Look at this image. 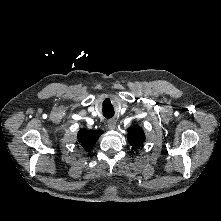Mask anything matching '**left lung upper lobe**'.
Returning <instances> with one entry per match:
<instances>
[{
	"mask_svg": "<svg viewBox=\"0 0 221 221\" xmlns=\"http://www.w3.org/2000/svg\"><path fill=\"white\" fill-rule=\"evenodd\" d=\"M128 140L134 149H138L143 145L145 134L139 126H133L128 129Z\"/></svg>",
	"mask_w": 221,
	"mask_h": 221,
	"instance_id": "left-lung-upper-lobe-1",
	"label": "left lung upper lobe"
}]
</instances>
